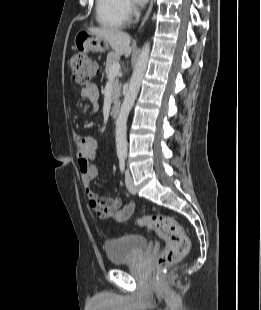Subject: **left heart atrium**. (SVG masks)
<instances>
[{"mask_svg": "<svg viewBox=\"0 0 261 310\" xmlns=\"http://www.w3.org/2000/svg\"><path fill=\"white\" fill-rule=\"evenodd\" d=\"M136 3H138V4H141V5H143V4H145L148 0H134Z\"/></svg>", "mask_w": 261, "mask_h": 310, "instance_id": "39dd6f15", "label": "left heart atrium"}]
</instances>
